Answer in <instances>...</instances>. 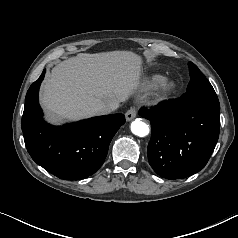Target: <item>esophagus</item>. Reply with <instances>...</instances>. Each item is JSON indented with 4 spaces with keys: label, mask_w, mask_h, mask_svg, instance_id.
I'll use <instances>...</instances> for the list:
<instances>
[{
    "label": "esophagus",
    "mask_w": 238,
    "mask_h": 238,
    "mask_svg": "<svg viewBox=\"0 0 238 238\" xmlns=\"http://www.w3.org/2000/svg\"><path fill=\"white\" fill-rule=\"evenodd\" d=\"M137 115V109L135 107H131L125 114L126 120L131 121Z\"/></svg>",
    "instance_id": "34e87169"
}]
</instances>
